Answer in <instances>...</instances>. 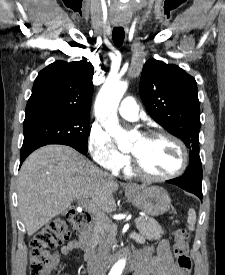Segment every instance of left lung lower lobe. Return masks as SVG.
<instances>
[{
	"instance_id": "0a47b994",
	"label": "left lung lower lobe",
	"mask_w": 225,
	"mask_h": 275,
	"mask_svg": "<svg viewBox=\"0 0 225 275\" xmlns=\"http://www.w3.org/2000/svg\"><path fill=\"white\" fill-rule=\"evenodd\" d=\"M168 183L175 184L184 190L194 193L202 199V166L201 160L189 163L184 174L176 179L167 180Z\"/></svg>"
}]
</instances>
